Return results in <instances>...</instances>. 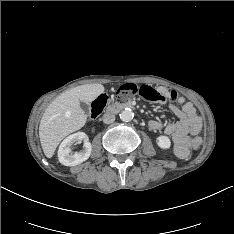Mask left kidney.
I'll list each match as a JSON object with an SVG mask.
<instances>
[{
	"label": "left kidney",
	"mask_w": 234,
	"mask_h": 234,
	"mask_svg": "<svg viewBox=\"0 0 234 234\" xmlns=\"http://www.w3.org/2000/svg\"><path fill=\"white\" fill-rule=\"evenodd\" d=\"M156 142H157V145L163 150L169 149L171 146V141L169 137L167 136H159L156 139Z\"/></svg>",
	"instance_id": "left-kidney-1"
}]
</instances>
